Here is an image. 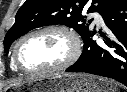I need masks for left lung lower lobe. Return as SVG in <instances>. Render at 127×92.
I'll use <instances>...</instances> for the list:
<instances>
[{"label": "left lung lower lobe", "instance_id": "0a47b994", "mask_svg": "<svg viewBox=\"0 0 127 92\" xmlns=\"http://www.w3.org/2000/svg\"><path fill=\"white\" fill-rule=\"evenodd\" d=\"M108 27L105 44L97 45L92 40L95 31L86 36L84 48L75 64L67 72H86L113 78L127 86V0H118L102 14Z\"/></svg>", "mask_w": 127, "mask_h": 92}]
</instances>
